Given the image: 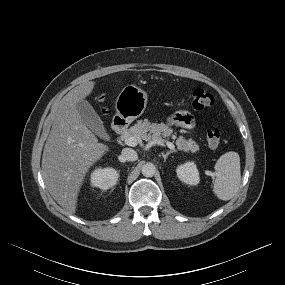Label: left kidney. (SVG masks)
<instances>
[{"label": "left kidney", "instance_id": "1", "mask_svg": "<svg viewBox=\"0 0 285 285\" xmlns=\"http://www.w3.org/2000/svg\"><path fill=\"white\" fill-rule=\"evenodd\" d=\"M176 173L178 178L188 185H197L200 181L199 172L194 162L179 165Z\"/></svg>", "mask_w": 285, "mask_h": 285}]
</instances>
